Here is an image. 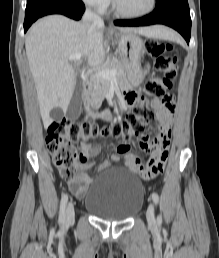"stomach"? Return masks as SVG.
Returning <instances> with one entry per match:
<instances>
[{
  "label": "stomach",
  "mask_w": 219,
  "mask_h": 258,
  "mask_svg": "<svg viewBox=\"0 0 219 258\" xmlns=\"http://www.w3.org/2000/svg\"><path fill=\"white\" fill-rule=\"evenodd\" d=\"M118 51L122 58L127 81L131 86H138L143 80L141 58L145 53L143 40L135 33H122L118 36Z\"/></svg>",
  "instance_id": "obj_1"
}]
</instances>
